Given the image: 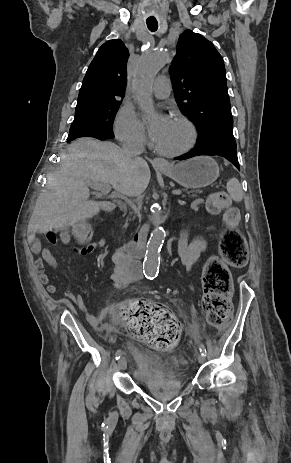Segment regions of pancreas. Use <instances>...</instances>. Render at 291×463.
I'll list each match as a JSON object with an SVG mask.
<instances>
[{"instance_id":"obj_1","label":"pancreas","mask_w":291,"mask_h":463,"mask_svg":"<svg viewBox=\"0 0 291 463\" xmlns=\"http://www.w3.org/2000/svg\"><path fill=\"white\" fill-rule=\"evenodd\" d=\"M183 192L184 194L182 195V197L186 198V197H189V198H195L198 196V193L199 191H188V190H185L183 189ZM126 226H127V222H126Z\"/></svg>"}]
</instances>
